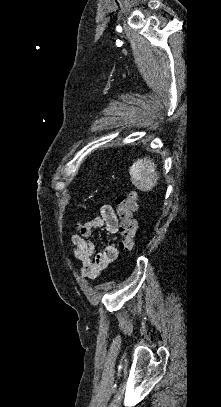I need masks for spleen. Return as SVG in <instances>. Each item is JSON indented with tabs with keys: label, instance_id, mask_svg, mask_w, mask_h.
<instances>
[{
	"label": "spleen",
	"instance_id": "3e777b00",
	"mask_svg": "<svg viewBox=\"0 0 221 407\" xmlns=\"http://www.w3.org/2000/svg\"><path fill=\"white\" fill-rule=\"evenodd\" d=\"M155 169L156 166L152 160L138 159L129 170L133 185L141 191H151L159 180V175Z\"/></svg>",
	"mask_w": 221,
	"mask_h": 407
}]
</instances>
